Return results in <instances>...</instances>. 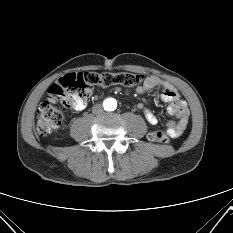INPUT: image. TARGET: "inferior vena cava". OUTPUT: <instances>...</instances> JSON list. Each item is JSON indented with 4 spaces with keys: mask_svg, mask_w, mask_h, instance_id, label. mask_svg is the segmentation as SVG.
<instances>
[{
    "mask_svg": "<svg viewBox=\"0 0 233 233\" xmlns=\"http://www.w3.org/2000/svg\"><path fill=\"white\" fill-rule=\"evenodd\" d=\"M92 112H93L94 114H101V113L103 112V107H102V105H101V104H96V105H94L93 108H92Z\"/></svg>",
    "mask_w": 233,
    "mask_h": 233,
    "instance_id": "obj_1",
    "label": "inferior vena cava"
}]
</instances>
